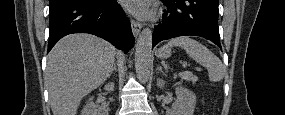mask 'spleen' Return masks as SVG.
I'll return each mask as SVG.
<instances>
[{"mask_svg": "<svg viewBox=\"0 0 285 115\" xmlns=\"http://www.w3.org/2000/svg\"><path fill=\"white\" fill-rule=\"evenodd\" d=\"M173 46L183 48L189 57L207 68L210 81L218 82L224 78L226 69L221 60L200 42L184 36L170 40L164 48Z\"/></svg>", "mask_w": 285, "mask_h": 115, "instance_id": "obj_1", "label": "spleen"}]
</instances>
